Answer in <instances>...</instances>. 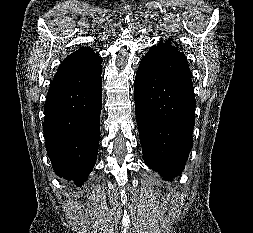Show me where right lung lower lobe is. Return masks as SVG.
Here are the masks:
<instances>
[{"mask_svg":"<svg viewBox=\"0 0 253 233\" xmlns=\"http://www.w3.org/2000/svg\"><path fill=\"white\" fill-rule=\"evenodd\" d=\"M102 66L57 72L45 102L46 149L57 175L80 186L96 162Z\"/></svg>","mask_w":253,"mask_h":233,"instance_id":"right-lung-lower-lobe-1","label":"right lung lower lobe"}]
</instances>
